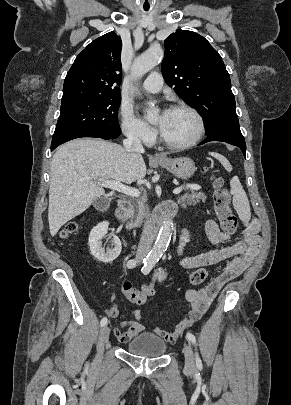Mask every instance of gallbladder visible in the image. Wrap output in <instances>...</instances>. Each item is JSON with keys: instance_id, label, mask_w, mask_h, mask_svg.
Instances as JSON below:
<instances>
[{"instance_id": "gallbladder-1", "label": "gallbladder", "mask_w": 291, "mask_h": 405, "mask_svg": "<svg viewBox=\"0 0 291 405\" xmlns=\"http://www.w3.org/2000/svg\"><path fill=\"white\" fill-rule=\"evenodd\" d=\"M109 205H110V200L108 198H101L93 203V206L97 210H105L109 207Z\"/></svg>"}]
</instances>
